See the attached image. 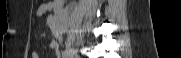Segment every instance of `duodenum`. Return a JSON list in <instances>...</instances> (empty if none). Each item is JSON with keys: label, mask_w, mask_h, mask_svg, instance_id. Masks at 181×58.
I'll list each match as a JSON object with an SVG mask.
<instances>
[{"label": "duodenum", "mask_w": 181, "mask_h": 58, "mask_svg": "<svg viewBox=\"0 0 181 58\" xmlns=\"http://www.w3.org/2000/svg\"><path fill=\"white\" fill-rule=\"evenodd\" d=\"M54 5H55V10L58 13H63L64 12V10H65V0H56L54 2Z\"/></svg>", "instance_id": "1"}]
</instances>
